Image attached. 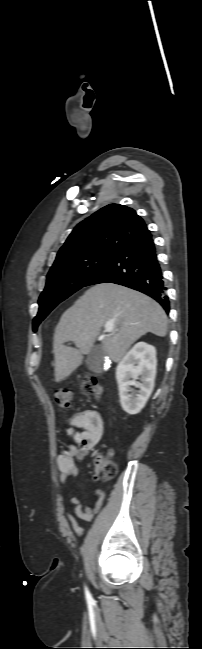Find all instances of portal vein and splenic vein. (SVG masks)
<instances>
[{
  "mask_svg": "<svg viewBox=\"0 0 202 649\" xmlns=\"http://www.w3.org/2000/svg\"><path fill=\"white\" fill-rule=\"evenodd\" d=\"M111 329H112L111 325L107 324V325L105 326V330H106V331H110Z\"/></svg>",
  "mask_w": 202,
  "mask_h": 649,
  "instance_id": "portal-vein-and-splenic-vein-1",
  "label": "portal vein and splenic vein"
}]
</instances>
